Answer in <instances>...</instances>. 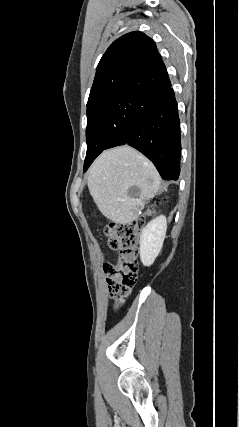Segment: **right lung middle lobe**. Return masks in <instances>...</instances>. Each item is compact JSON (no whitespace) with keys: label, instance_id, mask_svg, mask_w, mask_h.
Here are the masks:
<instances>
[{"label":"right lung middle lobe","instance_id":"right-lung-middle-lobe-1","mask_svg":"<svg viewBox=\"0 0 239 427\" xmlns=\"http://www.w3.org/2000/svg\"><path fill=\"white\" fill-rule=\"evenodd\" d=\"M142 101L141 96L127 95L87 106L84 172L103 150L119 146L127 139L131 121Z\"/></svg>","mask_w":239,"mask_h":427}]
</instances>
